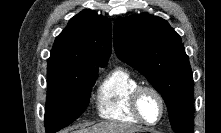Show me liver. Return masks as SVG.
I'll use <instances>...</instances> for the list:
<instances>
[{"label": "liver", "mask_w": 221, "mask_h": 133, "mask_svg": "<svg viewBox=\"0 0 221 133\" xmlns=\"http://www.w3.org/2000/svg\"><path fill=\"white\" fill-rule=\"evenodd\" d=\"M67 133L68 130H65ZM138 130L130 125L117 122H102L92 127L75 130L72 133H137Z\"/></svg>", "instance_id": "obj_1"}]
</instances>
